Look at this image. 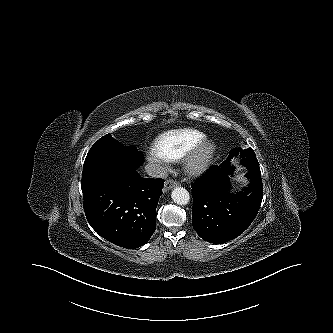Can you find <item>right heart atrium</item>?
<instances>
[{"instance_id": "right-heart-atrium-1", "label": "right heart atrium", "mask_w": 333, "mask_h": 333, "mask_svg": "<svg viewBox=\"0 0 333 333\" xmlns=\"http://www.w3.org/2000/svg\"><path fill=\"white\" fill-rule=\"evenodd\" d=\"M148 159L152 162L157 163L162 168H166L168 162L165 158L161 157L160 155L156 154L155 151L148 154Z\"/></svg>"}]
</instances>
